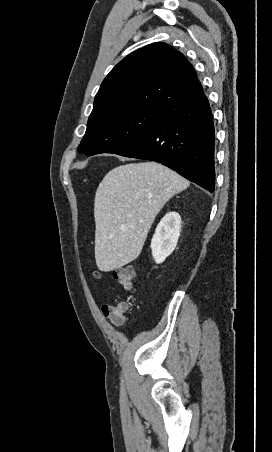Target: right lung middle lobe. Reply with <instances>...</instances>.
<instances>
[{"mask_svg":"<svg viewBox=\"0 0 272 452\" xmlns=\"http://www.w3.org/2000/svg\"><path fill=\"white\" fill-rule=\"evenodd\" d=\"M161 114L160 111L131 109L88 120L78 151L87 156L118 154L140 138Z\"/></svg>","mask_w":272,"mask_h":452,"instance_id":"obj_1","label":"right lung middle lobe"}]
</instances>
